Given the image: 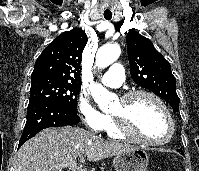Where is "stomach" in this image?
<instances>
[{"label": "stomach", "mask_w": 199, "mask_h": 171, "mask_svg": "<svg viewBox=\"0 0 199 171\" xmlns=\"http://www.w3.org/2000/svg\"><path fill=\"white\" fill-rule=\"evenodd\" d=\"M148 154L143 149H135L117 154L113 160L115 171H146Z\"/></svg>", "instance_id": "stomach-1"}]
</instances>
